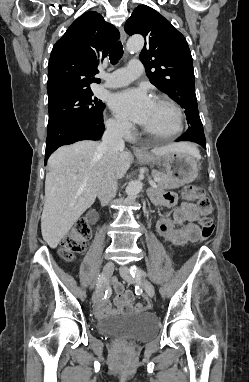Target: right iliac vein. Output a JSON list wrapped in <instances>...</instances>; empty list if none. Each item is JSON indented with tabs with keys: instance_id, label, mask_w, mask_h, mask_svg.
Here are the masks:
<instances>
[{
	"instance_id": "right-iliac-vein-1",
	"label": "right iliac vein",
	"mask_w": 249,
	"mask_h": 382,
	"mask_svg": "<svg viewBox=\"0 0 249 382\" xmlns=\"http://www.w3.org/2000/svg\"><path fill=\"white\" fill-rule=\"evenodd\" d=\"M113 271H114V263L111 261L107 262L103 268V281H102L101 285L97 288V290L92 295L93 303H97L100 300L101 295H102L104 288H105V282L107 279L110 278Z\"/></svg>"
}]
</instances>
